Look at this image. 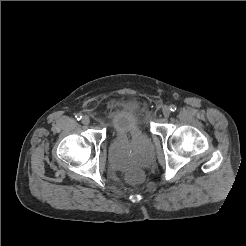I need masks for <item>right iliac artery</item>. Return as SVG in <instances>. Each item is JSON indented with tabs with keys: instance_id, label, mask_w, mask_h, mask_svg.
Listing matches in <instances>:
<instances>
[{
	"instance_id": "obj_1",
	"label": "right iliac artery",
	"mask_w": 246,
	"mask_h": 246,
	"mask_svg": "<svg viewBox=\"0 0 246 246\" xmlns=\"http://www.w3.org/2000/svg\"><path fill=\"white\" fill-rule=\"evenodd\" d=\"M75 118H76L77 120H81V119H82V114H80V113L76 114V115H75Z\"/></svg>"
}]
</instances>
